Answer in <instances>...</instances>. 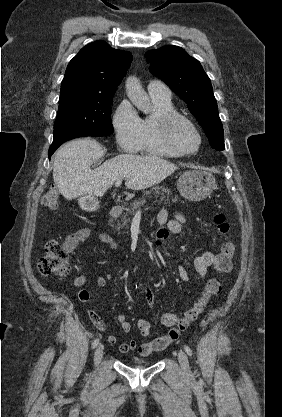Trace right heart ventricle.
Segmentation results:
<instances>
[{
  "label": "right heart ventricle",
  "instance_id": "1",
  "mask_svg": "<svg viewBox=\"0 0 282 417\" xmlns=\"http://www.w3.org/2000/svg\"><path fill=\"white\" fill-rule=\"evenodd\" d=\"M154 112L140 118L142 131V148L143 150L158 155H176L163 142L160 133L157 130L156 116L161 112H175L171 100L161 98H152Z\"/></svg>",
  "mask_w": 282,
  "mask_h": 417
}]
</instances>
